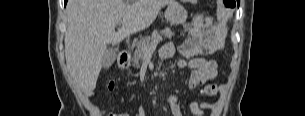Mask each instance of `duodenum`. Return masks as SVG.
<instances>
[{
  "label": "duodenum",
  "instance_id": "duodenum-1",
  "mask_svg": "<svg viewBox=\"0 0 305 116\" xmlns=\"http://www.w3.org/2000/svg\"><path fill=\"white\" fill-rule=\"evenodd\" d=\"M130 61V53L127 51H121L118 55V65L121 68H125Z\"/></svg>",
  "mask_w": 305,
  "mask_h": 116
}]
</instances>
